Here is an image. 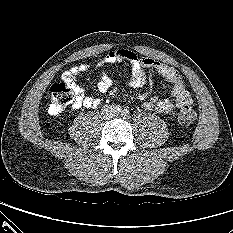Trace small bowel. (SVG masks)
I'll return each mask as SVG.
<instances>
[{"label": "small bowel", "instance_id": "small-bowel-1", "mask_svg": "<svg viewBox=\"0 0 233 233\" xmlns=\"http://www.w3.org/2000/svg\"><path fill=\"white\" fill-rule=\"evenodd\" d=\"M120 62H129L132 68L129 86L132 88H141L146 83L145 70L155 69L172 86V99L158 100L150 98L144 102L143 107L147 110H155L158 113L166 114L176 108L185 105H191L193 100L190 93L185 89L180 74L171 66L160 63L152 58L139 57L135 52L127 49H118L110 51L106 57L98 64V68L106 65H112ZM89 65L81 64L70 68L63 74V80L75 94L73 108L81 107L97 108L100 105V99L87 96L84 90L78 85L77 77L89 70ZM114 80L107 74H103L97 84L99 92L106 93L113 85Z\"/></svg>", "mask_w": 233, "mask_h": 233}]
</instances>
